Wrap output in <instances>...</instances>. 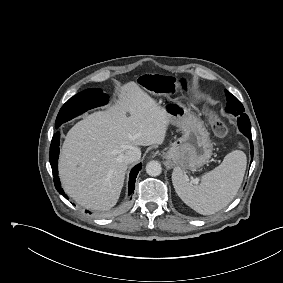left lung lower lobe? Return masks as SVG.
Here are the masks:
<instances>
[{
    "label": "left lung lower lobe",
    "mask_w": 283,
    "mask_h": 283,
    "mask_svg": "<svg viewBox=\"0 0 283 283\" xmlns=\"http://www.w3.org/2000/svg\"><path fill=\"white\" fill-rule=\"evenodd\" d=\"M238 127H239L240 131L247 138H249L250 147H251V162H252V160H253V142H252V137H251V123L249 121L248 116L245 113L238 115Z\"/></svg>",
    "instance_id": "1"
}]
</instances>
